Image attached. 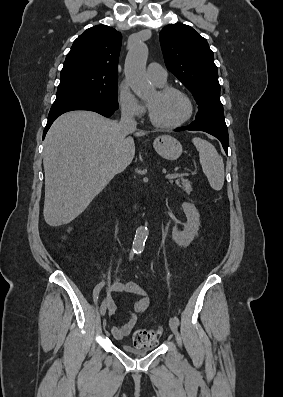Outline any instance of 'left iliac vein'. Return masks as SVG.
I'll use <instances>...</instances> for the list:
<instances>
[{"instance_id": "1", "label": "left iliac vein", "mask_w": 283, "mask_h": 397, "mask_svg": "<svg viewBox=\"0 0 283 397\" xmlns=\"http://www.w3.org/2000/svg\"><path fill=\"white\" fill-rule=\"evenodd\" d=\"M169 326H170V329L172 330V332H173L174 334H176V333H177L178 325H177V323H176V321H175V318H171V319L169 320Z\"/></svg>"}]
</instances>
